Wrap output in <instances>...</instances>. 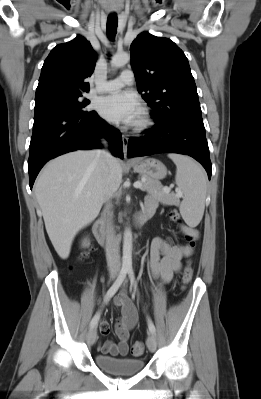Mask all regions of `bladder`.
I'll return each instance as SVG.
<instances>
[{"mask_svg": "<svg viewBox=\"0 0 261 399\" xmlns=\"http://www.w3.org/2000/svg\"><path fill=\"white\" fill-rule=\"evenodd\" d=\"M94 361L103 371L116 375H134L140 372L144 365L140 359L115 358L101 354L95 355Z\"/></svg>", "mask_w": 261, "mask_h": 399, "instance_id": "1", "label": "bladder"}]
</instances>
